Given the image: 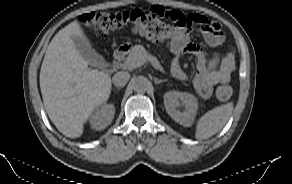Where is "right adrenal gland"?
<instances>
[{"mask_svg": "<svg viewBox=\"0 0 292 184\" xmlns=\"http://www.w3.org/2000/svg\"><path fill=\"white\" fill-rule=\"evenodd\" d=\"M115 89L120 90L121 88H120V87H116V88H114V90H115Z\"/></svg>", "mask_w": 292, "mask_h": 184, "instance_id": "obj_1", "label": "right adrenal gland"}]
</instances>
